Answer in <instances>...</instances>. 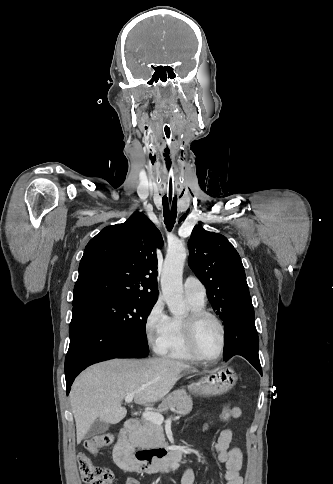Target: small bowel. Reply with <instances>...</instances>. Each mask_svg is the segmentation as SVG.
Instances as JSON below:
<instances>
[{
    "mask_svg": "<svg viewBox=\"0 0 333 484\" xmlns=\"http://www.w3.org/2000/svg\"><path fill=\"white\" fill-rule=\"evenodd\" d=\"M241 416V408L233 407L228 419H239ZM210 424V422L206 423L202 429L207 430ZM232 440V432L229 429L222 430L214 443V450L218 460L224 464L226 469L223 484H243V477L241 475L242 452L239 447L230 448ZM194 480L195 475L193 469L187 468L182 475L181 484H194ZM127 484H139V482L134 478H128Z\"/></svg>",
    "mask_w": 333,
    "mask_h": 484,
    "instance_id": "small-bowel-1",
    "label": "small bowel"
}]
</instances>
